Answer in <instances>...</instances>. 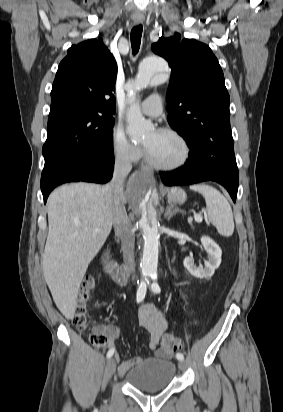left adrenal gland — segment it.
<instances>
[{
	"instance_id": "1",
	"label": "left adrenal gland",
	"mask_w": 283,
	"mask_h": 412,
	"mask_svg": "<svg viewBox=\"0 0 283 412\" xmlns=\"http://www.w3.org/2000/svg\"><path fill=\"white\" fill-rule=\"evenodd\" d=\"M177 212H178V210L173 209V208H171V207H167V210H166V212H165L164 217H165L168 221H170V219H171L174 215H176Z\"/></svg>"
}]
</instances>
